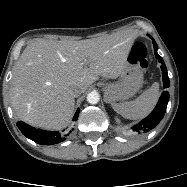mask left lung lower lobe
<instances>
[{"label": "left lung lower lobe", "mask_w": 187, "mask_h": 187, "mask_svg": "<svg viewBox=\"0 0 187 187\" xmlns=\"http://www.w3.org/2000/svg\"><path fill=\"white\" fill-rule=\"evenodd\" d=\"M148 36L153 40L155 56L158 59V61L161 63V70H162V76H163V87L168 88L170 86V83H169V77L167 74L166 65L164 64L162 57L159 56L157 53L158 46L155 40L150 35ZM168 101H169V93L167 91H164L162 95L160 96L159 101L156 107L154 108V110L151 112V114L147 116L146 118H144L141 122L133 126L132 127L133 131L138 132V133H142V132L146 133L149 130L156 127V125L164 117Z\"/></svg>", "instance_id": "left-lung-lower-lobe-1"}]
</instances>
